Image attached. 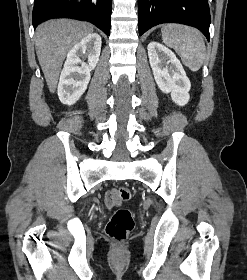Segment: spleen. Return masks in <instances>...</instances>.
I'll list each match as a JSON object with an SVG mask.
<instances>
[{
  "label": "spleen",
  "instance_id": "3e777b00",
  "mask_svg": "<svg viewBox=\"0 0 247 280\" xmlns=\"http://www.w3.org/2000/svg\"><path fill=\"white\" fill-rule=\"evenodd\" d=\"M163 42L175 50L183 64L198 71L206 57V47L200 32L180 24H166L161 29Z\"/></svg>",
  "mask_w": 247,
  "mask_h": 280
}]
</instances>
